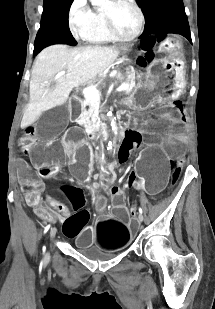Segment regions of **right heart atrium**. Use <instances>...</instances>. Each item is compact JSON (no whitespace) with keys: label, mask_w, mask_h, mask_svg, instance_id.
I'll use <instances>...</instances> for the list:
<instances>
[{"label":"right heart atrium","mask_w":215,"mask_h":309,"mask_svg":"<svg viewBox=\"0 0 215 309\" xmlns=\"http://www.w3.org/2000/svg\"><path fill=\"white\" fill-rule=\"evenodd\" d=\"M74 7L69 13V24L73 34L76 37H84L83 29H89L92 21L95 20L94 14H89L88 10H83L78 7H85L86 0H73Z\"/></svg>","instance_id":"right-heart-atrium-1"}]
</instances>
